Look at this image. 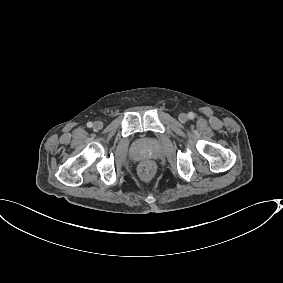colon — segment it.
I'll list each match as a JSON object with an SVG mask.
<instances>
[{
	"instance_id": "1",
	"label": "colon",
	"mask_w": 283,
	"mask_h": 283,
	"mask_svg": "<svg viewBox=\"0 0 283 283\" xmlns=\"http://www.w3.org/2000/svg\"><path fill=\"white\" fill-rule=\"evenodd\" d=\"M140 175L143 179L148 180L153 174V166L150 163H143L139 169Z\"/></svg>"
}]
</instances>
